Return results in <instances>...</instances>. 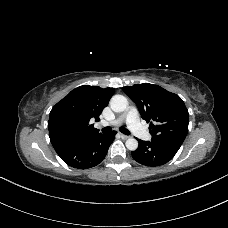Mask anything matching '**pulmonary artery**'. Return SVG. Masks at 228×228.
Here are the masks:
<instances>
[{
	"label": "pulmonary artery",
	"instance_id": "pulmonary-artery-1",
	"mask_svg": "<svg viewBox=\"0 0 228 228\" xmlns=\"http://www.w3.org/2000/svg\"><path fill=\"white\" fill-rule=\"evenodd\" d=\"M126 122L128 128L140 139L150 140L151 135L146 128L140 123L138 118V111L135 107H130L127 112L116 118L111 124L118 125ZM106 124V122H103Z\"/></svg>",
	"mask_w": 228,
	"mask_h": 228
}]
</instances>
